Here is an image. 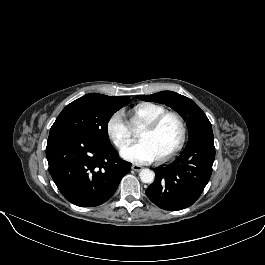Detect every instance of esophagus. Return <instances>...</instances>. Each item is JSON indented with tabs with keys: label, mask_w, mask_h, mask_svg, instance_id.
Masks as SVG:
<instances>
[{
	"label": "esophagus",
	"mask_w": 265,
	"mask_h": 265,
	"mask_svg": "<svg viewBox=\"0 0 265 265\" xmlns=\"http://www.w3.org/2000/svg\"><path fill=\"white\" fill-rule=\"evenodd\" d=\"M131 168L133 171L139 172L143 167L141 165L134 164Z\"/></svg>",
	"instance_id": "esophagus-1"
}]
</instances>
